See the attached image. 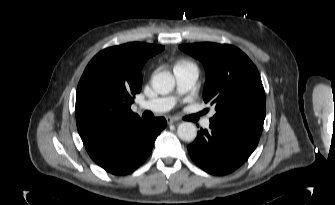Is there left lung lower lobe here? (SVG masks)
Masks as SVG:
<instances>
[{"mask_svg": "<svg viewBox=\"0 0 335 205\" xmlns=\"http://www.w3.org/2000/svg\"><path fill=\"white\" fill-rule=\"evenodd\" d=\"M259 134L210 119L187 147L193 161L208 173L225 175L240 167L255 150Z\"/></svg>", "mask_w": 335, "mask_h": 205, "instance_id": "0a47b994", "label": "left lung lower lobe"}]
</instances>
